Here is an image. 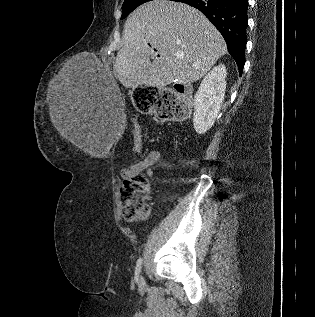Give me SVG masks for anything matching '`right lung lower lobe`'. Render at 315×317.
<instances>
[{
  "instance_id": "1",
  "label": "right lung lower lobe",
  "mask_w": 315,
  "mask_h": 317,
  "mask_svg": "<svg viewBox=\"0 0 315 317\" xmlns=\"http://www.w3.org/2000/svg\"><path fill=\"white\" fill-rule=\"evenodd\" d=\"M199 9L224 37L239 73L245 63L248 0H175Z\"/></svg>"
}]
</instances>
